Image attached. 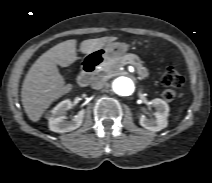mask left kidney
I'll use <instances>...</instances> for the list:
<instances>
[{
    "instance_id": "obj_1",
    "label": "left kidney",
    "mask_w": 212,
    "mask_h": 183,
    "mask_svg": "<svg viewBox=\"0 0 212 183\" xmlns=\"http://www.w3.org/2000/svg\"><path fill=\"white\" fill-rule=\"evenodd\" d=\"M151 104L155 107L156 112L154 114V119H148L144 115L140 116L139 123L145 129L153 132L160 131L167 127L168 121L167 117L169 115L168 104L159 98L153 99Z\"/></svg>"
}]
</instances>
